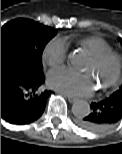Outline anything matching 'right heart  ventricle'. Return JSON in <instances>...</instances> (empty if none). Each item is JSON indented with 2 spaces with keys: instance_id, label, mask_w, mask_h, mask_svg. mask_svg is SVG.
Wrapping results in <instances>:
<instances>
[{
  "instance_id": "1",
  "label": "right heart ventricle",
  "mask_w": 122,
  "mask_h": 154,
  "mask_svg": "<svg viewBox=\"0 0 122 154\" xmlns=\"http://www.w3.org/2000/svg\"><path fill=\"white\" fill-rule=\"evenodd\" d=\"M68 39V37L65 38V40ZM75 42L76 45L85 48L91 56L112 52V47L105 40L98 37H82Z\"/></svg>"
}]
</instances>
